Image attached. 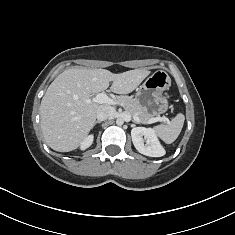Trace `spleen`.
Masks as SVG:
<instances>
[{"label":"spleen","instance_id":"1","mask_svg":"<svg viewBox=\"0 0 235 235\" xmlns=\"http://www.w3.org/2000/svg\"><path fill=\"white\" fill-rule=\"evenodd\" d=\"M184 120V115L178 114L168 124L156 126L154 131L165 143L171 144L179 136L183 128Z\"/></svg>","mask_w":235,"mask_h":235}]
</instances>
